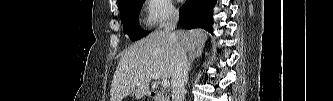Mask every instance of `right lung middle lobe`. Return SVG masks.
I'll use <instances>...</instances> for the list:
<instances>
[{
    "mask_svg": "<svg viewBox=\"0 0 333 101\" xmlns=\"http://www.w3.org/2000/svg\"><path fill=\"white\" fill-rule=\"evenodd\" d=\"M144 2L145 0H121L118 2L124 33L132 40H138L148 34V31L141 30L138 25V12Z\"/></svg>",
    "mask_w": 333,
    "mask_h": 101,
    "instance_id": "obj_1",
    "label": "right lung middle lobe"
}]
</instances>
